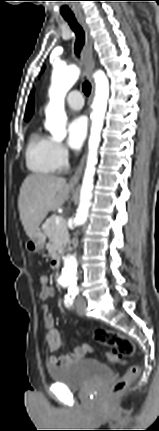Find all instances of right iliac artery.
<instances>
[{"label":"right iliac artery","mask_w":159,"mask_h":431,"mask_svg":"<svg viewBox=\"0 0 159 431\" xmlns=\"http://www.w3.org/2000/svg\"><path fill=\"white\" fill-rule=\"evenodd\" d=\"M73 288H74V286H73V285H71V287L69 288V293H71V292H72L71 290H73Z\"/></svg>","instance_id":"obj_1"}]
</instances>
